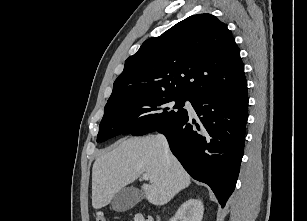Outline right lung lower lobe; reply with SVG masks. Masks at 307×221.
<instances>
[{
  "label": "right lung lower lobe",
  "mask_w": 307,
  "mask_h": 221,
  "mask_svg": "<svg viewBox=\"0 0 307 221\" xmlns=\"http://www.w3.org/2000/svg\"><path fill=\"white\" fill-rule=\"evenodd\" d=\"M190 115L165 128L172 153L196 180L210 186L220 205L233 192L244 150L248 115L247 83L241 88L191 101Z\"/></svg>",
  "instance_id": "obj_1"
}]
</instances>
